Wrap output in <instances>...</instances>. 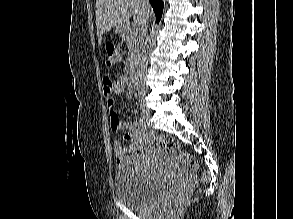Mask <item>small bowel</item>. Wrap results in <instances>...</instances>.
<instances>
[{
  "label": "small bowel",
  "mask_w": 293,
  "mask_h": 219,
  "mask_svg": "<svg viewBox=\"0 0 293 219\" xmlns=\"http://www.w3.org/2000/svg\"><path fill=\"white\" fill-rule=\"evenodd\" d=\"M104 93L110 113V126L115 132L127 131L123 139L124 144L118 138L113 141L116 161L119 165L135 162L141 156L142 147L149 143L150 139L144 128L136 121L121 120L114 110V95L125 92L128 99H133L135 93L127 88L125 76L112 81L109 78L103 79Z\"/></svg>",
  "instance_id": "1"
}]
</instances>
